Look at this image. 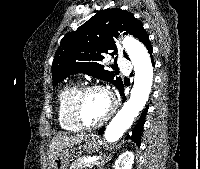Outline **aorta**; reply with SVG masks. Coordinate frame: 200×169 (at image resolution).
<instances>
[{"label":"aorta","instance_id":"obj_1","mask_svg":"<svg viewBox=\"0 0 200 169\" xmlns=\"http://www.w3.org/2000/svg\"><path fill=\"white\" fill-rule=\"evenodd\" d=\"M122 44L134 66V85L129 100L106 127L104 137L110 143L119 140L131 127L146 105L153 83L152 62L145 46L132 37H125Z\"/></svg>","mask_w":200,"mask_h":169}]
</instances>
